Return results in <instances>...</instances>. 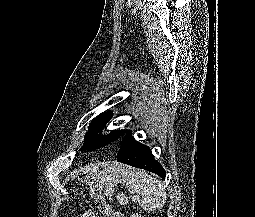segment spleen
I'll list each match as a JSON object with an SVG mask.
<instances>
[{"label":"spleen","instance_id":"3e777b00","mask_svg":"<svg viewBox=\"0 0 255 217\" xmlns=\"http://www.w3.org/2000/svg\"><path fill=\"white\" fill-rule=\"evenodd\" d=\"M108 171L112 174L113 180L124 182L131 194H138L141 197L138 204L142 209L153 211L165 204L167 193L164 184L146 171L117 163Z\"/></svg>","mask_w":255,"mask_h":217}]
</instances>
